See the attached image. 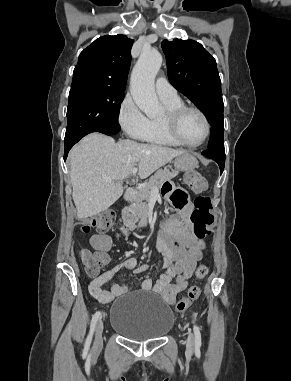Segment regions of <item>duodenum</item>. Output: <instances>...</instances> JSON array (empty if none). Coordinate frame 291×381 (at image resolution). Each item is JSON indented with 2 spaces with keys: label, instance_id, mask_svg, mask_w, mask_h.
<instances>
[{
  "label": "duodenum",
  "instance_id": "obj_1",
  "mask_svg": "<svg viewBox=\"0 0 291 381\" xmlns=\"http://www.w3.org/2000/svg\"><path fill=\"white\" fill-rule=\"evenodd\" d=\"M137 194H138L137 189H135V188H129L124 193V199H125V201L127 203H131V202H133L135 200ZM121 230L124 231L123 228H121Z\"/></svg>",
  "mask_w": 291,
  "mask_h": 381
}]
</instances>
